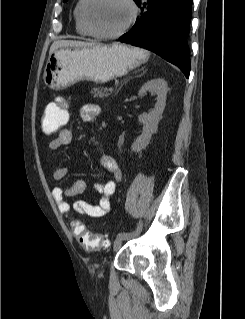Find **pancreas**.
I'll use <instances>...</instances> for the list:
<instances>
[{
    "instance_id": "cf45deb5",
    "label": "pancreas",
    "mask_w": 245,
    "mask_h": 319,
    "mask_svg": "<svg viewBox=\"0 0 245 319\" xmlns=\"http://www.w3.org/2000/svg\"><path fill=\"white\" fill-rule=\"evenodd\" d=\"M91 93L94 95V98L100 97H109L110 93L106 87H93Z\"/></svg>"
}]
</instances>
